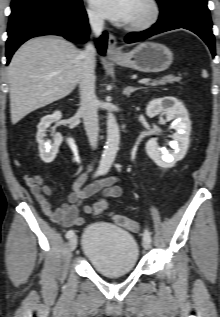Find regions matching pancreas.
<instances>
[{
	"label": "pancreas",
	"instance_id": "obj_1",
	"mask_svg": "<svg viewBox=\"0 0 220 317\" xmlns=\"http://www.w3.org/2000/svg\"><path fill=\"white\" fill-rule=\"evenodd\" d=\"M179 81H180L179 77H176V76H173V75H168V76L163 77L160 80L153 81L149 85L157 86V85H164L166 83H174V82H179Z\"/></svg>",
	"mask_w": 220,
	"mask_h": 317
}]
</instances>
